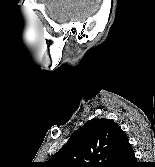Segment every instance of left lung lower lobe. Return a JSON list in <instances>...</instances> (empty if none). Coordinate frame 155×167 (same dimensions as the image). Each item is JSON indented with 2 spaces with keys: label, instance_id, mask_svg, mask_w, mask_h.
I'll return each mask as SVG.
<instances>
[{
  "label": "left lung lower lobe",
  "instance_id": "left-lung-lower-lobe-1",
  "mask_svg": "<svg viewBox=\"0 0 155 167\" xmlns=\"http://www.w3.org/2000/svg\"><path fill=\"white\" fill-rule=\"evenodd\" d=\"M134 160V151L128 139H126L121 143L116 160L111 167H127L128 164Z\"/></svg>",
  "mask_w": 155,
  "mask_h": 167
}]
</instances>
